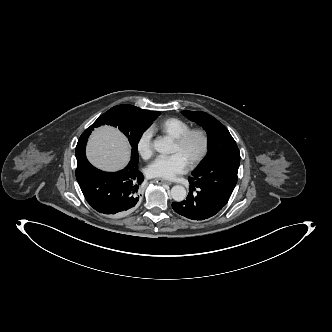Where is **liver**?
I'll return each instance as SVG.
<instances>
[{"instance_id":"6515ba94","label":"liver","mask_w":332,"mask_h":332,"mask_svg":"<svg viewBox=\"0 0 332 332\" xmlns=\"http://www.w3.org/2000/svg\"><path fill=\"white\" fill-rule=\"evenodd\" d=\"M129 153L126 138L111 126L95 129L86 147L88 160L97 168L110 172L122 169L129 160Z\"/></svg>"}]
</instances>
